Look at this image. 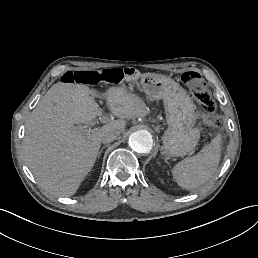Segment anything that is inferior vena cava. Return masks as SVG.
I'll list each match as a JSON object with an SVG mask.
<instances>
[{"mask_svg":"<svg viewBox=\"0 0 258 258\" xmlns=\"http://www.w3.org/2000/svg\"><path fill=\"white\" fill-rule=\"evenodd\" d=\"M120 131H115L112 129H106L101 133V142L110 143L118 138Z\"/></svg>","mask_w":258,"mask_h":258,"instance_id":"obj_1","label":"inferior vena cava"}]
</instances>
